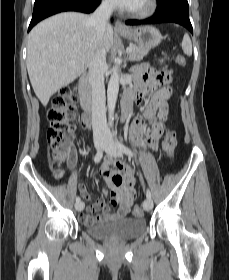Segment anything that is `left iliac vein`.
Masks as SVG:
<instances>
[{
    "label": "left iliac vein",
    "mask_w": 229,
    "mask_h": 280,
    "mask_svg": "<svg viewBox=\"0 0 229 280\" xmlns=\"http://www.w3.org/2000/svg\"><path fill=\"white\" fill-rule=\"evenodd\" d=\"M104 151L113 157H121L122 151L119 146L113 141L111 137H107L104 144ZM153 207V201L151 198H146L143 201V209L145 211H150Z\"/></svg>",
    "instance_id": "left-iliac-vein-1"
}]
</instances>
